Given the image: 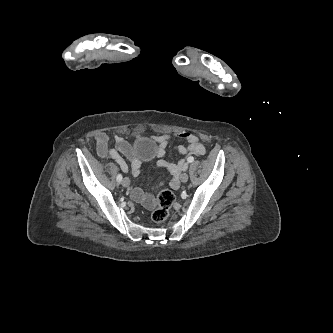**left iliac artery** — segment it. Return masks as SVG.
Wrapping results in <instances>:
<instances>
[{
    "label": "left iliac artery",
    "instance_id": "1",
    "mask_svg": "<svg viewBox=\"0 0 333 333\" xmlns=\"http://www.w3.org/2000/svg\"><path fill=\"white\" fill-rule=\"evenodd\" d=\"M193 160H194V159H193L192 157H190V158L188 159V161H189L190 163H192ZM186 169H187V167L184 168V170H186Z\"/></svg>",
    "mask_w": 333,
    "mask_h": 333
}]
</instances>
